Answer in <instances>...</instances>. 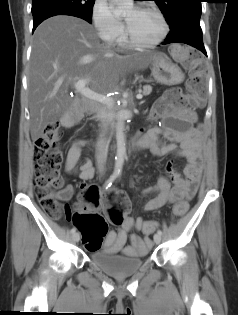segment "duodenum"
Segmentation results:
<instances>
[{"mask_svg": "<svg viewBox=\"0 0 238 315\" xmlns=\"http://www.w3.org/2000/svg\"><path fill=\"white\" fill-rule=\"evenodd\" d=\"M133 148H134L135 150H138V149H137V143L135 142V140H134V142H133Z\"/></svg>", "mask_w": 238, "mask_h": 315, "instance_id": "1", "label": "duodenum"}]
</instances>
